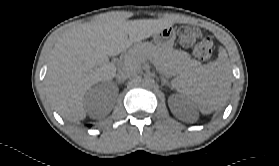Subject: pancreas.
Masks as SVG:
<instances>
[{"label": "pancreas", "instance_id": "1", "mask_svg": "<svg viewBox=\"0 0 279 166\" xmlns=\"http://www.w3.org/2000/svg\"><path fill=\"white\" fill-rule=\"evenodd\" d=\"M146 59L152 60L156 67L167 75L184 74L200 65L186 52L162 49L148 42L134 45L124 56L123 64L124 67L137 70Z\"/></svg>", "mask_w": 279, "mask_h": 166}]
</instances>
